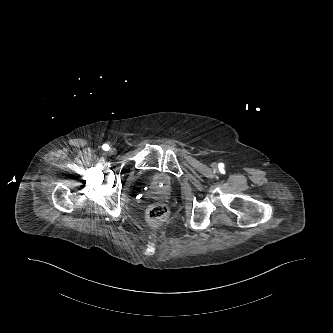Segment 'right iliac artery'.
<instances>
[{
    "mask_svg": "<svg viewBox=\"0 0 333 333\" xmlns=\"http://www.w3.org/2000/svg\"><path fill=\"white\" fill-rule=\"evenodd\" d=\"M109 145L108 144H103L102 145V149L105 150V151H108L109 150Z\"/></svg>",
    "mask_w": 333,
    "mask_h": 333,
    "instance_id": "obj_1",
    "label": "right iliac artery"
}]
</instances>
